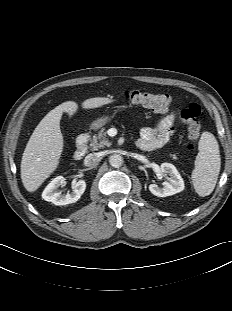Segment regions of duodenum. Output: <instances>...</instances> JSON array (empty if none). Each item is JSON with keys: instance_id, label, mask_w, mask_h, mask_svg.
Returning a JSON list of instances; mask_svg holds the SVG:
<instances>
[{"instance_id": "obj_1", "label": "duodenum", "mask_w": 232, "mask_h": 311, "mask_svg": "<svg viewBox=\"0 0 232 311\" xmlns=\"http://www.w3.org/2000/svg\"><path fill=\"white\" fill-rule=\"evenodd\" d=\"M87 141L88 135L83 133L77 137L76 150L73 153V159L75 161H81L87 153Z\"/></svg>"}]
</instances>
